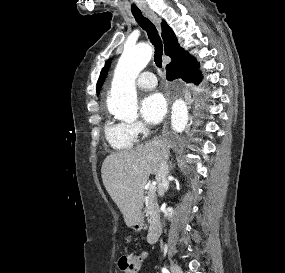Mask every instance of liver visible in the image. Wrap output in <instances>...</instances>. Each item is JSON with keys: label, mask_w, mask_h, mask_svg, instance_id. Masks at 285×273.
Wrapping results in <instances>:
<instances>
[{"label": "liver", "mask_w": 285, "mask_h": 273, "mask_svg": "<svg viewBox=\"0 0 285 273\" xmlns=\"http://www.w3.org/2000/svg\"><path fill=\"white\" fill-rule=\"evenodd\" d=\"M168 156V143L154 140L105 158L101 168L103 184L128 226L140 219L147 180L150 174H158L161 162Z\"/></svg>", "instance_id": "obj_1"}]
</instances>
